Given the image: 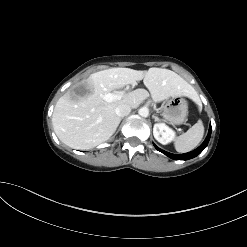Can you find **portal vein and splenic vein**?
<instances>
[{
    "instance_id": "18ae733b",
    "label": "portal vein and splenic vein",
    "mask_w": 247,
    "mask_h": 247,
    "mask_svg": "<svg viewBox=\"0 0 247 247\" xmlns=\"http://www.w3.org/2000/svg\"><path fill=\"white\" fill-rule=\"evenodd\" d=\"M124 97V92L119 93H108L102 96V99L106 102H113L116 100H120Z\"/></svg>"
}]
</instances>
